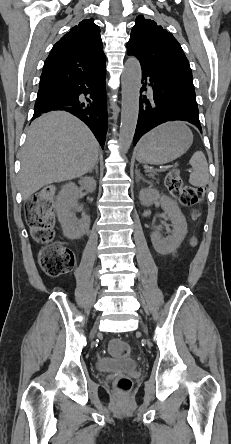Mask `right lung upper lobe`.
Wrapping results in <instances>:
<instances>
[{"instance_id": "cb5924a9", "label": "right lung upper lobe", "mask_w": 231, "mask_h": 444, "mask_svg": "<svg viewBox=\"0 0 231 444\" xmlns=\"http://www.w3.org/2000/svg\"><path fill=\"white\" fill-rule=\"evenodd\" d=\"M100 28L93 19L73 27L52 48L45 60L40 87L97 75L106 70Z\"/></svg>"}]
</instances>
